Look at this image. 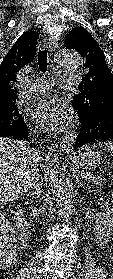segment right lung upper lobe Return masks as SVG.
<instances>
[{"instance_id": "obj_1", "label": "right lung upper lobe", "mask_w": 113, "mask_h": 279, "mask_svg": "<svg viewBox=\"0 0 113 279\" xmlns=\"http://www.w3.org/2000/svg\"><path fill=\"white\" fill-rule=\"evenodd\" d=\"M39 35L35 31H27L9 50L0 66V108L16 101L14 82L21 68L32 62Z\"/></svg>"}]
</instances>
